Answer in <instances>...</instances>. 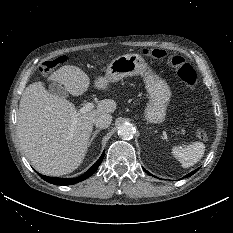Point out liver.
Returning a JSON list of instances; mask_svg holds the SVG:
<instances>
[{
	"mask_svg": "<svg viewBox=\"0 0 233 233\" xmlns=\"http://www.w3.org/2000/svg\"><path fill=\"white\" fill-rule=\"evenodd\" d=\"M48 80L64 85L73 96L82 95L89 87L87 74L73 65L60 67ZM109 83L105 76H99L94 87L106 91ZM115 109L114 100L104 99L96 109L78 114L74 104L49 93L42 82L30 84L21 96L17 121L26 158L41 174L62 176L73 172L86 155L95 117Z\"/></svg>",
	"mask_w": 233,
	"mask_h": 233,
	"instance_id": "6515ba94",
	"label": "liver"
}]
</instances>
